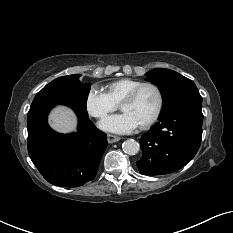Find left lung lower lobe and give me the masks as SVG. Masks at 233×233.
I'll return each instance as SVG.
<instances>
[{"instance_id": "obj_1", "label": "left lung lower lobe", "mask_w": 233, "mask_h": 233, "mask_svg": "<svg viewBox=\"0 0 233 233\" xmlns=\"http://www.w3.org/2000/svg\"><path fill=\"white\" fill-rule=\"evenodd\" d=\"M202 102L181 104L161 114L160 121L140 139L143 175L173 173L196 155L202 137Z\"/></svg>"}]
</instances>
